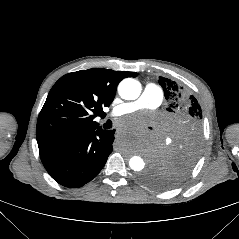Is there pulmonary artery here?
<instances>
[{"label": "pulmonary artery", "mask_w": 239, "mask_h": 239, "mask_svg": "<svg viewBox=\"0 0 239 239\" xmlns=\"http://www.w3.org/2000/svg\"><path fill=\"white\" fill-rule=\"evenodd\" d=\"M162 101V89L154 83H147L138 99L115 106L110 111L109 116L119 117L141 109H156L161 105Z\"/></svg>", "instance_id": "obj_1"}]
</instances>
